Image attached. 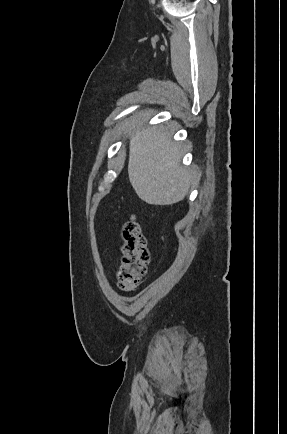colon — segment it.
I'll use <instances>...</instances> for the list:
<instances>
[{
  "instance_id": "colon-1",
  "label": "colon",
  "mask_w": 287,
  "mask_h": 434,
  "mask_svg": "<svg viewBox=\"0 0 287 434\" xmlns=\"http://www.w3.org/2000/svg\"><path fill=\"white\" fill-rule=\"evenodd\" d=\"M122 261L117 279L120 289L131 291L147 273L150 253L147 238L136 218H131L122 228Z\"/></svg>"
}]
</instances>
